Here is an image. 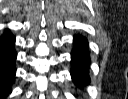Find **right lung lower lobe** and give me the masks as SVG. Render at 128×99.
<instances>
[{
  "label": "right lung lower lobe",
  "instance_id": "98d812e1",
  "mask_svg": "<svg viewBox=\"0 0 128 99\" xmlns=\"http://www.w3.org/2000/svg\"><path fill=\"white\" fill-rule=\"evenodd\" d=\"M15 37L9 31L0 36V98L11 92L14 83L17 53L15 51Z\"/></svg>",
  "mask_w": 128,
  "mask_h": 99
}]
</instances>
